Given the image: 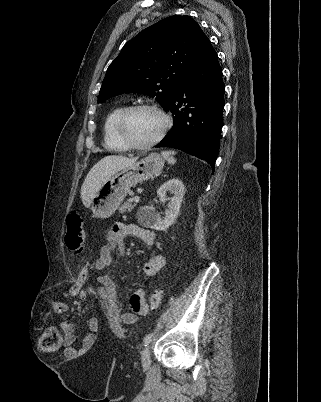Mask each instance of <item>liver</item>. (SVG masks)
<instances>
[{
	"label": "liver",
	"mask_w": 321,
	"mask_h": 402,
	"mask_svg": "<svg viewBox=\"0 0 321 402\" xmlns=\"http://www.w3.org/2000/svg\"><path fill=\"white\" fill-rule=\"evenodd\" d=\"M119 155H109L98 161L87 174L81 187V199L85 207H89L96 191L116 172L137 161Z\"/></svg>",
	"instance_id": "obj_1"
}]
</instances>
